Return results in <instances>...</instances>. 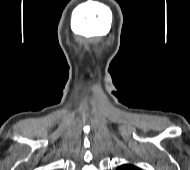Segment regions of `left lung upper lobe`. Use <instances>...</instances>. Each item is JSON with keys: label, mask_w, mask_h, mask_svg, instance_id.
<instances>
[{"label": "left lung upper lobe", "mask_w": 190, "mask_h": 170, "mask_svg": "<svg viewBox=\"0 0 190 170\" xmlns=\"http://www.w3.org/2000/svg\"><path fill=\"white\" fill-rule=\"evenodd\" d=\"M117 170H140V169L132 164H124L120 166Z\"/></svg>", "instance_id": "5c2ea615"}]
</instances>
